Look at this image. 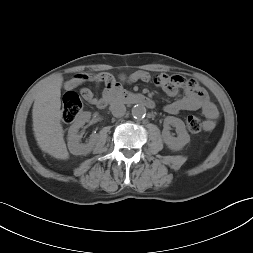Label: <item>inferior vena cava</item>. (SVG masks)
I'll list each match as a JSON object with an SVG mask.
<instances>
[{
  "instance_id": "602c4592",
  "label": "inferior vena cava",
  "mask_w": 253,
  "mask_h": 253,
  "mask_svg": "<svg viewBox=\"0 0 253 253\" xmlns=\"http://www.w3.org/2000/svg\"><path fill=\"white\" fill-rule=\"evenodd\" d=\"M110 111L112 112L113 116L121 117L125 114L126 107L124 104L116 102L111 104Z\"/></svg>"
}]
</instances>
